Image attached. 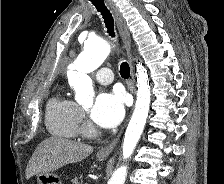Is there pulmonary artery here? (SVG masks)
Instances as JSON below:
<instances>
[{
  "instance_id": "1",
  "label": "pulmonary artery",
  "mask_w": 224,
  "mask_h": 184,
  "mask_svg": "<svg viewBox=\"0 0 224 184\" xmlns=\"http://www.w3.org/2000/svg\"><path fill=\"white\" fill-rule=\"evenodd\" d=\"M95 78L100 84H109L114 80V75L110 69L102 68L97 71Z\"/></svg>"
}]
</instances>
